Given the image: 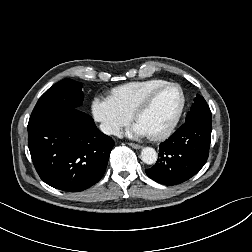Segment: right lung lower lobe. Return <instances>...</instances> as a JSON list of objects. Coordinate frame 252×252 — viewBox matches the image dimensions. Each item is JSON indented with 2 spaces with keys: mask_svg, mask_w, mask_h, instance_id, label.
Returning a JSON list of instances; mask_svg holds the SVG:
<instances>
[{
  "mask_svg": "<svg viewBox=\"0 0 252 252\" xmlns=\"http://www.w3.org/2000/svg\"><path fill=\"white\" fill-rule=\"evenodd\" d=\"M114 144L79 109L55 111L28 123V146L37 173L63 191L79 192L97 183Z\"/></svg>",
  "mask_w": 252,
  "mask_h": 252,
  "instance_id": "1",
  "label": "right lung lower lobe"
}]
</instances>
